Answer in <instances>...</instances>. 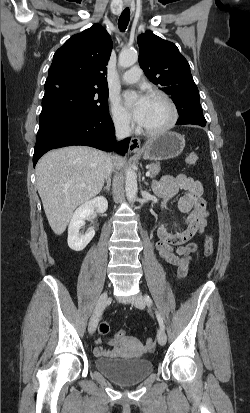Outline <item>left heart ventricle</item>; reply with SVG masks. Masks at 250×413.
Wrapping results in <instances>:
<instances>
[{"label": "left heart ventricle", "instance_id": "left-heart-ventricle-1", "mask_svg": "<svg viewBox=\"0 0 250 413\" xmlns=\"http://www.w3.org/2000/svg\"><path fill=\"white\" fill-rule=\"evenodd\" d=\"M170 117L171 112L167 104L160 99L150 97L141 126L150 130L159 129L169 122Z\"/></svg>", "mask_w": 250, "mask_h": 413}]
</instances>
